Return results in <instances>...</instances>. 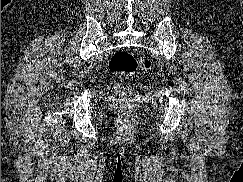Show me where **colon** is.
I'll list each match as a JSON object with an SVG mask.
<instances>
[{"instance_id": "obj_1", "label": "colon", "mask_w": 243, "mask_h": 182, "mask_svg": "<svg viewBox=\"0 0 243 182\" xmlns=\"http://www.w3.org/2000/svg\"><path fill=\"white\" fill-rule=\"evenodd\" d=\"M150 67V59L136 58L132 53L127 51L115 53L109 62L110 71L121 76H132L137 73H144L147 72ZM115 91L126 108H132L141 99L140 94L136 90L124 85H116Z\"/></svg>"}]
</instances>
